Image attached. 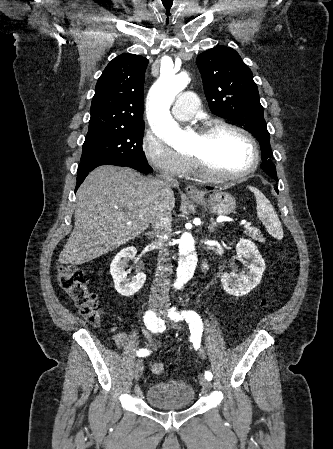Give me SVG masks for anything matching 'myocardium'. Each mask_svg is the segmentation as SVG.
I'll return each instance as SVG.
<instances>
[{"instance_id":"f54148a6","label":"myocardium","mask_w":333,"mask_h":449,"mask_svg":"<svg viewBox=\"0 0 333 449\" xmlns=\"http://www.w3.org/2000/svg\"><path fill=\"white\" fill-rule=\"evenodd\" d=\"M219 130L233 131V132H236L237 134L241 135L242 137H244L249 142L252 152H253L252 163L246 169H244L242 171H239V172L233 173V174L222 175V174H216V173L212 172L206 166L205 162L200 157L195 156V155H190V159H191L196 171L198 172V174L200 176H202L203 178H205L206 180H209L212 182H217V183H222V182H230V181H236V180L242 179V178L248 176L249 174H251L252 172H254L260 162V151H259L258 144H257L255 138L253 137V135L249 131H247L246 129H244L242 127H239L235 124L224 122V121L206 122L200 128L198 134L202 135V136H207V135H210L213 132L219 131Z\"/></svg>"}]
</instances>
